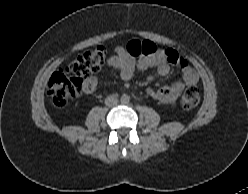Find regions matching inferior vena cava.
<instances>
[{
	"mask_svg": "<svg viewBox=\"0 0 248 194\" xmlns=\"http://www.w3.org/2000/svg\"><path fill=\"white\" fill-rule=\"evenodd\" d=\"M118 103V99L117 97L115 96H108L106 99H105V104L106 106H114Z\"/></svg>",
	"mask_w": 248,
	"mask_h": 194,
	"instance_id": "inferior-vena-cava-1",
	"label": "inferior vena cava"
}]
</instances>
